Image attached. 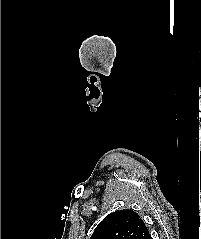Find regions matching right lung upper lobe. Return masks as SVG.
Returning <instances> with one entry per match:
<instances>
[{
    "label": "right lung upper lobe",
    "instance_id": "right-lung-upper-lobe-1",
    "mask_svg": "<svg viewBox=\"0 0 201 239\" xmlns=\"http://www.w3.org/2000/svg\"><path fill=\"white\" fill-rule=\"evenodd\" d=\"M90 239H151V236L138 214L124 209L107 215Z\"/></svg>",
    "mask_w": 201,
    "mask_h": 239
}]
</instances>
